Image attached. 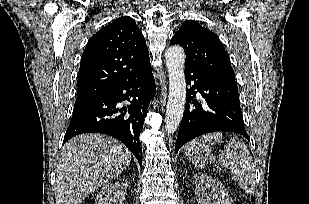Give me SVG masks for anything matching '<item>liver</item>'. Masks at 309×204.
I'll return each instance as SVG.
<instances>
[{"label":"liver","instance_id":"6515ba94","mask_svg":"<svg viewBox=\"0 0 309 204\" xmlns=\"http://www.w3.org/2000/svg\"><path fill=\"white\" fill-rule=\"evenodd\" d=\"M132 153L118 140L82 134L61 149L56 165V204H81L93 191L122 173Z\"/></svg>","mask_w":309,"mask_h":204}]
</instances>
